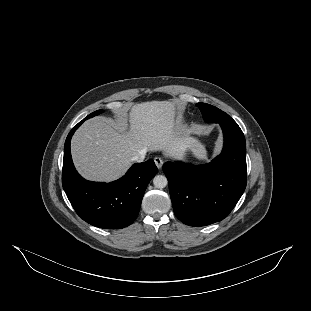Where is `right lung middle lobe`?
I'll return each mask as SVG.
<instances>
[{
  "label": "right lung middle lobe",
  "mask_w": 311,
  "mask_h": 311,
  "mask_svg": "<svg viewBox=\"0 0 311 311\" xmlns=\"http://www.w3.org/2000/svg\"><path fill=\"white\" fill-rule=\"evenodd\" d=\"M102 112H103V110L95 111V112L91 113L90 115H88V116L85 118V120H86V119H89V118H91V117H94V116H96V115H98V114H100V113H102Z\"/></svg>",
  "instance_id": "obj_1"
}]
</instances>
